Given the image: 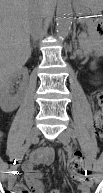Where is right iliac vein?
<instances>
[{
	"mask_svg": "<svg viewBox=\"0 0 103 193\" xmlns=\"http://www.w3.org/2000/svg\"><path fill=\"white\" fill-rule=\"evenodd\" d=\"M38 135H39V130H38L37 128H33V129L30 131L29 135H28L27 141H28V142H34V141L37 139ZM16 169H17V166H14V167L12 168V170H11V172H10V174H9V179H10V181H13V180H14V174H15V170H16Z\"/></svg>",
	"mask_w": 103,
	"mask_h": 193,
	"instance_id": "obj_1",
	"label": "right iliac vein"
}]
</instances>
